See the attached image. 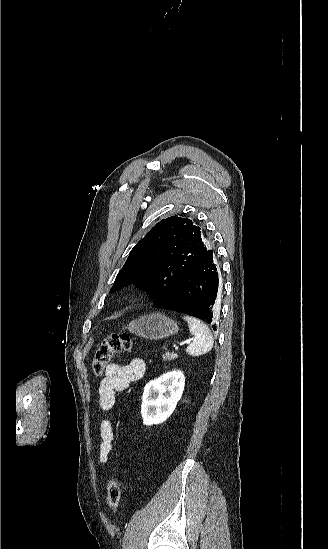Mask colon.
<instances>
[{"label":"colon","mask_w":328,"mask_h":549,"mask_svg":"<svg viewBox=\"0 0 328 549\" xmlns=\"http://www.w3.org/2000/svg\"><path fill=\"white\" fill-rule=\"evenodd\" d=\"M133 347V340L128 334H112L104 339L97 347L92 369L96 375H101L105 366L111 358L118 353L130 351ZM121 488L116 478H111L107 484V506L115 512L120 503Z\"/></svg>","instance_id":"colon-1"}]
</instances>
